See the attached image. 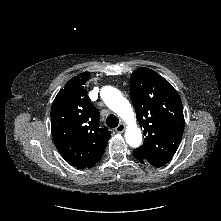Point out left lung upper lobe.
<instances>
[{
  "mask_svg": "<svg viewBox=\"0 0 221 221\" xmlns=\"http://www.w3.org/2000/svg\"><path fill=\"white\" fill-rule=\"evenodd\" d=\"M130 94L145 135L143 145L134 153L152 166L161 167L173 157L183 135L180 96L166 79L148 68L132 73Z\"/></svg>",
  "mask_w": 221,
  "mask_h": 221,
  "instance_id": "left-lung-upper-lobe-1",
  "label": "left lung upper lobe"
}]
</instances>
